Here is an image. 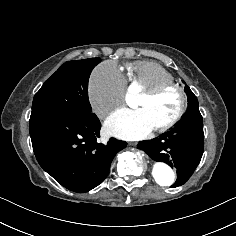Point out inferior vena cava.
<instances>
[{"label": "inferior vena cava", "instance_id": "inferior-vena-cava-1", "mask_svg": "<svg viewBox=\"0 0 236 236\" xmlns=\"http://www.w3.org/2000/svg\"><path fill=\"white\" fill-rule=\"evenodd\" d=\"M109 110H110L109 106L104 107L103 110H102V114L106 115Z\"/></svg>", "mask_w": 236, "mask_h": 236}]
</instances>
